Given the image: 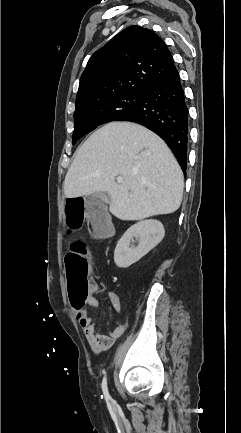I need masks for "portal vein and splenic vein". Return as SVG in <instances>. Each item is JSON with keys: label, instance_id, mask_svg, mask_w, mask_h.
I'll use <instances>...</instances> for the list:
<instances>
[{"label": "portal vein and splenic vein", "instance_id": "18ae733b", "mask_svg": "<svg viewBox=\"0 0 241 433\" xmlns=\"http://www.w3.org/2000/svg\"><path fill=\"white\" fill-rule=\"evenodd\" d=\"M117 182H118V183H122V182H123V179H122L121 177H118V178H117Z\"/></svg>", "mask_w": 241, "mask_h": 433}]
</instances>
